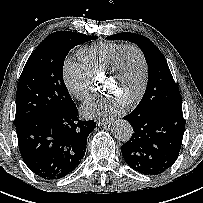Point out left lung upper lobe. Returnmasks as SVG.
Listing matches in <instances>:
<instances>
[{"label": "left lung upper lobe", "mask_w": 203, "mask_h": 203, "mask_svg": "<svg viewBox=\"0 0 203 203\" xmlns=\"http://www.w3.org/2000/svg\"><path fill=\"white\" fill-rule=\"evenodd\" d=\"M109 40H128L142 50L148 64V83L143 98L135 110L156 112L165 109H182V98L165 57L145 36L135 33H118L108 36Z\"/></svg>", "instance_id": "1"}]
</instances>
